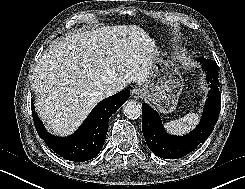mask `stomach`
I'll return each mask as SVG.
<instances>
[{
	"mask_svg": "<svg viewBox=\"0 0 245 189\" xmlns=\"http://www.w3.org/2000/svg\"><path fill=\"white\" fill-rule=\"evenodd\" d=\"M165 56L166 53L158 51L151 74L141 86L144 99L164 114L175 110L183 86V79L175 64L169 58L165 59Z\"/></svg>",
	"mask_w": 245,
	"mask_h": 189,
	"instance_id": "1",
	"label": "stomach"
}]
</instances>
